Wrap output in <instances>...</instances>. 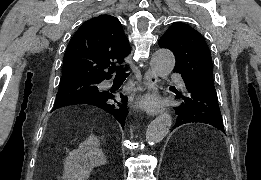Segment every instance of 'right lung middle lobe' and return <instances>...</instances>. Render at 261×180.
I'll use <instances>...</instances> for the list:
<instances>
[{
  "label": "right lung middle lobe",
  "mask_w": 261,
  "mask_h": 180,
  "mask_svg": "<svg viewBox=\"0 0 261 180\" xmlns=\"http://www.w3.org/2000/svg\"><path fill=\"white\" fill-rule=\"evenodd\" d=\"M100 82L94 80L61 81L55 103L74 95H95L99 93L97 84Z\"/></svg>",
  "instance_id": "1"
}]
</instances>
